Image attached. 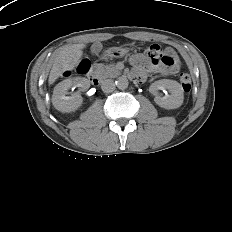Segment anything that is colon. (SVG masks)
I'll use <instances>...</instances> for the list:
<instances>
[{"label": "colon", "mask_w": 232, "mask_h": 232, "mask_svg": "<svg viewBox=\"0 0 232 232\" xmlns=\"http://www.w3.org/2000/svg\"><path fill=\"white\" fill-rule=\"evenodd\" d=\"M146 56L154 65H160L164 68L173 69L177 66V60L174 55L164 49H162L158 45H152L146 51ZM89 68V61L87 59H83L79 62L76 67V71L79 74H85ZM70 71L67 72L69 74ZM180 83L184 92L188 93L192 87V81L188 74L182 73L180 75Z\"/></svg>", "instance_id": "1"}]
</instances>
